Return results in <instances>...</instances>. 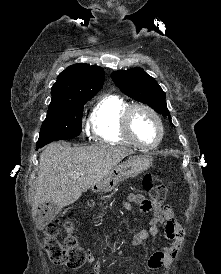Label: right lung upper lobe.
<instances>
[{
  "instance_id": "1",
  "label": "right lung upper lobe",
  "mask_w": 221,
  "mask_h": 274,
  "mask_svg": "<svg viewBox=\"0 0 221 274\" xmlns=\"http://www.w3.org/2000/svg\"><path fill=\"white\" fill-rule=\"evenodd\" d=\"M104 70L77 63L61 72L51 89L52 101L59 102L96 94L103 86Z\"/></svg>"
}]
</instances>
